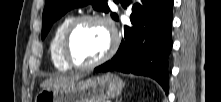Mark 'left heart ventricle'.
Wrapping results in <instances>:
<instances>
[{
    "label": "left heart ventricle",
    "instance_id": "1",
    "mask_svg": "<svg viewBox=\"0 0 221 102\" xmlns=\"http://www.w3.org/2000/svg\"><path fill=\"white\" fill-rule=\"evenodd\" d=\"M110 36L106 27L95 21H85L73 31L69 42V55L78 64L97 60L107 50Z\"/></svg>",
    "mask_w": 221,
    "mask_h": 102
}]
</instances>
